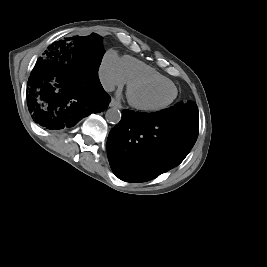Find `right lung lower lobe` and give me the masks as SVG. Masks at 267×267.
I'll use <instances>...</instances> for the list:
<instances>
[{
	"label": "right lung lower lobe",
	"instance_id": "98d812e1",
	"mask_svg": "<svg viewBox=\"0 0 267 267\" xmlns=\"http://www.w3.org/2000/svg\"><path fill=\"white\" fill-rule=\"evenodd\" d=\"M98 69L67 44L52 46L38 59L27 83V106L34 122L49 130L66 129L104 111L110 97Z\"/></svg>",
	"mask_w": 267,
	"mask_h": 267
}]
</instances>
